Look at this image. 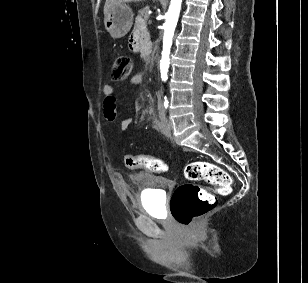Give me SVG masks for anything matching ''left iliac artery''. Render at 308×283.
Wrapping results in <instances>:
<instances>
[{
	"instance_id": "1",
	"label": "left iliac artery",
	"mask_w": 308,
	"mask_h": 283,
	"mask_svg": "<svg viewBox=\"0 0 308 283\" xmlns=\"http://www.w3.org/2000/svg\"><path fill=\"white\" fill-rule=\"evenodd\" d=\"M168 102H167V100H166V97H165V107L167 108V104Z\"/></svg>"
}]
</instances>
